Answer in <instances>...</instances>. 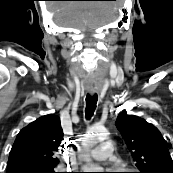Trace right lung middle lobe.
<instances>
[{
	"mask_svg": "<svg viewBox=\"0 0 173 173\" xmlns=\"http://www.w3.org/2000/svg\"><path fill=\"white\" fill-rule=\"evenodd\" d=\"M29 173H56L54 169H48V170H39V171H30Z\"/></svg>",
	"mask_w": 173,
	"mask_h": 173,
	"instance_id": "right-lung-middle-lobe-1",
	"label": "right lung middle lobe"
}]
</instances>
